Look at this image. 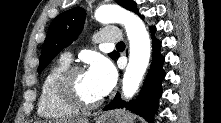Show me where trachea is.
I'll return each mask as SVG.
<instances>
[{
  "label": "trachea",
  "mask_w": 221,
  "mask_h": 123,
  "mask_svg": "<svg viewBox=\"0 0 221 123\" xmlns=\"http://www.w3.org/2000/svg\"><path fill=\"white\" fill-rule=\"evenodd\" d=\"M117 47H124L125 46V44H124V42L123 41H121V42H119V43H117V45H116Z\"/></svg>",
  "instance_id": "3493384b"
}]
</instances>
